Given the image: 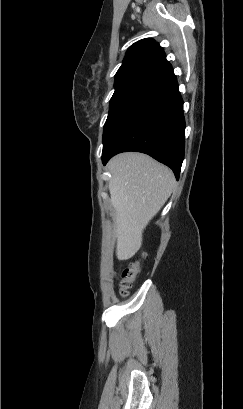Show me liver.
<instances>
[{
	"label": "liver",
	"instance_id": "obj_1",
	"mask_svg": "<svg viewBox=\"0 0 243 409\" xmlns=\"http://www.w3.org/2000/svg\"><path fill=\"white\" fill-rule=\"evenodd\" d=\"M110 202L115 210L116 257L128 260L142 246L143 232L175 187L173 172L142 153L116 155L108 163Z\"/></svg>",
	"mask_w": 243,
	"mask_h": 409
}]
</instances>
